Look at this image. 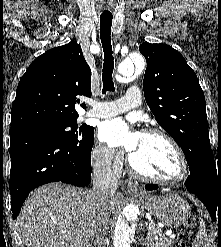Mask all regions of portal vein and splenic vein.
I'll list each match as a JSON object with an SVG mask.
<instances>
[{"instance_id":"portal-vein-and-splenic-vein-1","label":"portal vein and splenic vein","mask_w":221,"mask_h":247,"mask_svg":"<svg viewBox=\"0 0 221 247\" xmlns=\"http://www.w3.org/2000/svg\"><path fill=\"white\" fill-rule=\"evenodd\" d=\"M165 234L168 235V236H170V237H173L170 232H166Z\"/></svg>"}]
</instances>
